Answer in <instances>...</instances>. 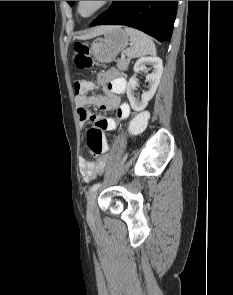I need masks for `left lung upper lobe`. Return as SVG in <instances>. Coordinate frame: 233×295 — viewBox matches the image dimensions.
I'll list each match as a JSON object with an SVG mask.
<instances>
[{"mask_svg":"<svg viewBox=\"0 0 233 295\" xmlns=\"http://www.w3.org/2000/svg\"><path fill=\"white\" fill-rule=\"evenodd\" d=\"M69 5H73L74 1H67Z\"/></svg>","mask_w":233,"mask_h":295,"instance_id":"1","label":"left lung upper lobe"}]
</instances>
